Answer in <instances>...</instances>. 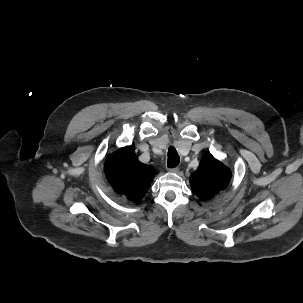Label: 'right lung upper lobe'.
<instances>
[{
  "mask_svg": "<svg viewBox=\"0 0 303 303\" xmlns=\"http://www.w3.org/2000/svg\"><path fill=\"white\" fill-rule=\"evenodd\" d=\"M105 174L113 189L137 202L148 190L156 171L138 161L130 147L110 154L105 161Z\"/></svg>",
  "mask_w": 303,
  "mask_h": 303,
  "instance_id": "1",
  "label": "right lung upper lobe"
}]
</instances>
